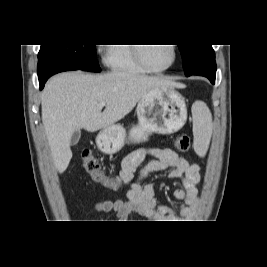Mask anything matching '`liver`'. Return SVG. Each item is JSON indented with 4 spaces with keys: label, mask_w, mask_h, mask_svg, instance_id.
<instances>
[{
    "label": "liver",
    "mask_w": 267,
    "mask_h": 267,
    "mask_svg": "<svg viewBox=\"0 0 267 267\" xmlns=\"http://www.w3.org/2000/svg\"><path fill=\"white\" fill-rule=\"evenodd\" d=\"M185 85L161 76L128 72L92 75L60 73L52 77L42 93V122L57 171L63 173L72 158L70 140L81 128L95 132L114 125L150 90ZM105 102L101 112L99 103Z\"/></svg>",
    "instance_id": "liver-1"
}]
</instances>
